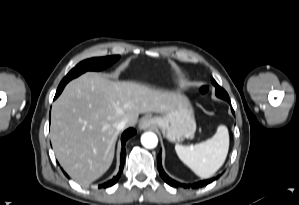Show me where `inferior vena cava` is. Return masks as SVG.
<instances>
[{"label": "inferior vena cava", "mask_w": 299, "mask_h": 205, "mask_svg": "<svg viewBox=\"0 0 299 205\" xmlns=\"http://www.w3.org/2000/svg\"><path fill=\"white\" fill-rule=\"evenodd\" d=\"M127 120L126 119H123L121 120L120 122L116 123L115 126L117 128V130H123L125 128V126L127 125Z\"/></svg>", "instance_id": "inferior-vena-cava-1"}]
</instances>
